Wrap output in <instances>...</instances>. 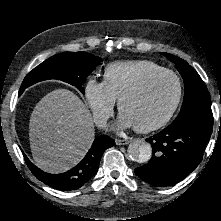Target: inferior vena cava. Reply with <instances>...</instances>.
I'll return each mask as SVG.
<instances>
[{
	"mask_svg": "<svg viewBox=\"0 0 221 221\" xmlns=\"http://www.w3.org/2000/svg\"><path fill=\"white\" fill-rule=\"evenodd\" d=\"M106 121H107V118H106V117L99 118V119L96 120V125H97L99 128H105V127H106Z\"/></svg>",
	"mask_w": 221,
	"mask_h": 221,
	"instance_id": "obj_1",
	"label": "inferior vena cava"
}]
</instances>
